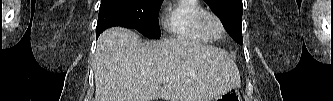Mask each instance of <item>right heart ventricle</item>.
<instances>
[{"instance_id": "e07e8e85", "label": "right heart ventricle", "mask_w": 333, "mask_h": 101, "mask_svg": "<svg viewBox=\"0 0 333 101\" xmlns=\"http://www.w3.org/2000/svg\"><path fill=\"white\" fill-rule=\"evenodd\" d=\"M204 7L196 0H179L168 11L165 27L177 39L208 43L211 39L199 24Z\"/></svg>"}]
</instances>
